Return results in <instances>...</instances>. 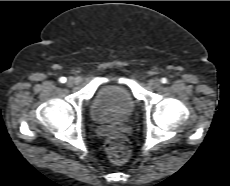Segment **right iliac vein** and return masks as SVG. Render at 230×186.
Masks as SVG:
<instances>
[{
  "label": "right iliac vein",
  "instance_id": "obj_1",
  "mask_svg": "<svg viewBox=\"0 0 230 186\" xmlns=\"http://www.w3.org/2000/svg\"><path fill=\"white\" fill-rule=\"evenodd\" d=\"M79 80L78 79H75V78H72L70 77L68 80H67V85L68 86H73L74 84L78 83Z\"/></svg>",
  "mask_w": 230,
  "mask_h": 186
}]
</instances>
